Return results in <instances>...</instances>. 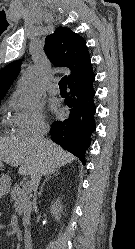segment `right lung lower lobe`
I'll list each match as a JSON object with an SVG mask.
<instances>
[{
  "mask_svg": "<svg viewBox=\"0 0 135 249\" xmlns=\"http://www.w3.org/2000/svg\"><path fill=\"white\" fill-rule=\"evenodd\" d=\"M95 74L69 85L65 104L70 109L69 118L55 121L51 128L52 140L85 162V152L90 147L91 135L96 129L94 115Z\"/></svg>",
  "mask_w": 135,
  "mask_h": 249,
  "instance_id": "1",
  "label": "right lung lower lobe"
}]
</instances>
